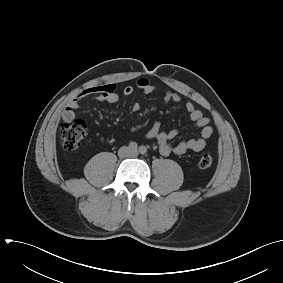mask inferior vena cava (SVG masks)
I'll list each match as a JSON object with an SVG mask.
<instances>
[{
    "instance_id": "1",
    "label": "inferior vena cava",
    "mask_w": 283,
    "mask_h": 283,
    "mask_svg": "<svg viewBox=\"0 0 283 283\" xmlns=\"http://www.w3.org/2000/svg\"><path fill=\"white\" fill-rule=\"evenodd\" d=\"M118 155L120 157H126V156H133L135 153L131 150H129L128 147H121L118 151Z\"/></svg>"
}]
</instances>
